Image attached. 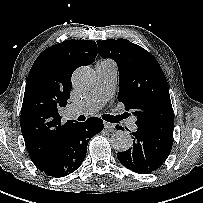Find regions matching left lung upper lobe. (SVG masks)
I'll list each match as a JSON object with an SVG mask.
<instances>
[{
    "label": "left lung upper lobe",
    "mask_w": 203,
    "mask_h": 203,
    "mask_svg": "<svg viewBox=\"0 0 203 203\" xmlns=\"http://www.w3.org/2000/svg\"><path fill=\"white\" fill-rule=\"evenodd\" d=\"M97 44L100 56L111 58L118 65V101L136 116L137 127L173 134L168 84L153 55L126 39L97 41Z\"/></svg>",
    "instance_id": "1"
}]
</instances>
